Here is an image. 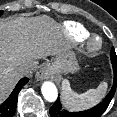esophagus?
Instances as JSON below:
<instances>
[{
    "instance_id": "1",
    "label": "esophagus",
    "mask_w": 117,
    "mask_h": 117,
    "mask_svg": "<svg viewBox=\"0 0 117 117\" xmlns=\"http://www.w3.org/2000/svg\"><path fill=\"white\" fill-rule=\"evenodd\" d=\"M49 71L47 70V68H43L41 69L39 72H37L36 74V77L39 79V80H43V79H47L49 78Z\"/></svg>"
}]
</instances>
